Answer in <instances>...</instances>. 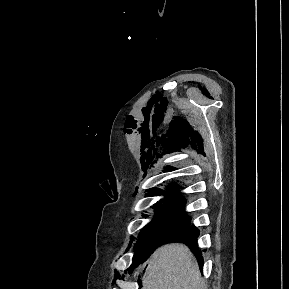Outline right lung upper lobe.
Listing matches in <instances>:
<instances>
[{
  "mask_svg": "<svg viewBox=\"0 0 289 289\" xmlns=\"http://www.w3.org/2000/svg\"><path fill=\"white\" fill-rule=\"evenodd\" d=\"M179 187H182V185L179 184L178 182H174V183H170L167 185H162L160 188H156L152 191H154L157 194H163V195L166 193H169L170 196L173 197Z\"/></svg>",
  "mask_w": 289,
  "mask_h": 289,
  "instance_id": "1",
  "label": "right lung upper lobe"
}]
</instances>
